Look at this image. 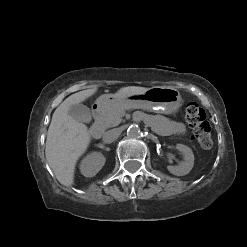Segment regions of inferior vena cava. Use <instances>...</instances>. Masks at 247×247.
<instances>
[{
  "mask_svg": "<svg viewBox=\"0 0 247 247\" xmlns=\"http://www.w3.org/2000/svg\"><path fill=\"white\" fill-rule=\"evenodd\" d=\"M120 134H121V129L114 128L105 132L102 140L104 143H112L119 137Z\"/></svg>",
  "mask_w": 247,
  "mask_h": 247,
  "instance_id": "1",
  "label": "inferior vena cava"
}]
</instances>
